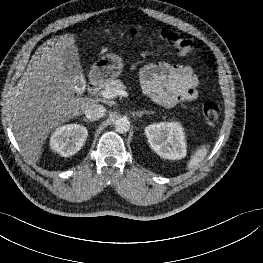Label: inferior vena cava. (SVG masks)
<instances>
[{"mask_svg":"<svg viewBox=\"0 0 263 263\" xmlns=\"http://www.w3.org/2000/svg\"><path fill=\"white\" fill-rule=\"evenodd\" d=\"M105 112V107L100 104L92 103L85 109L84 114L90 121H96L102 118L105 115Z\"/></svg>","mask_w":263,"mask_h":263,"instance_id":"1","label":"inferior vena cava"}]
</instances>
